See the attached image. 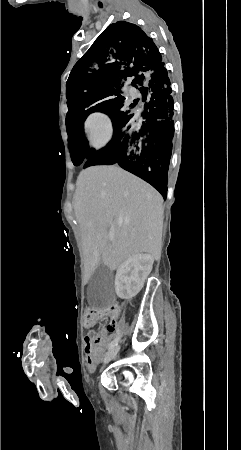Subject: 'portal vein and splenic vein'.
Returning <instances> with one entry per match:
<instances>
[{"mask_svg": "<svg viewBox=\"0 0 241 450\" xmlns=\"http://www.w3.org/2000/svg\"><path fill=\"white\" fill-rule=\"evenodd\" d=\"M108 236H109V238H111V240H112V238H114L113 232H109Z\"/></svg>", "mask_w": 241, "mask_h": 450, "instance_id": "1", "label": "portal vein and splenic vein"}]
</instances>
